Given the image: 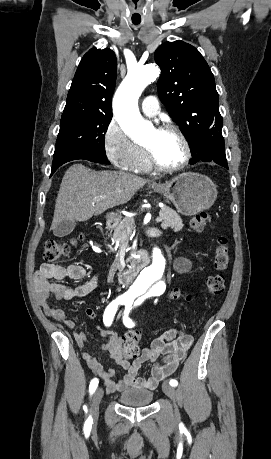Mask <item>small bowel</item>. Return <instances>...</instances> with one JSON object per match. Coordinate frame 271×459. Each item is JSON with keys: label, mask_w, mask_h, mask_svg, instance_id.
<instances>
[{"label": "small bowel", "mask_w": 271, "mask_h": 459, "mask_svg": "<svg viewBox=\"0 0 271 459\" xmlns=\"http://www.w3.org/2000/svg\"><path fill=\"white\" fill-rule=\"evenodd\" d=\"M86 274V269L79 264L62 266L44 263L36 272L34 278L36 296L45 314L73 331L76 343L80 348L85 346L87 342L86 336L77 331L75 323L68 318L66 312L53 305L49 299L55 297L58 300H70L89 295L100 283L98 275H94L91 279L75 288L57 282L65 278L82 280L86 277ZM86 314L91 319L96 318L95 312L90 308L86 310ZM100 333L106 339L101 349L106 351L110 358L125 370L126 373L123 378L119 381L114 380V370L105 369L89 353L84 352L83 358L90 371L103 381L109 394L123 392L128 388H156L160 381L176 371L194 341L190 334L182 330L168 329L160 337L154 339L150 347L143 349L133 363H129L122 356V337L105 329H100ZM147 362L152 363L153 366L151 375L144 377L140 375V372L142 366Z\"/></svg>", "instance_id": "obj_1"}]
</instances>
